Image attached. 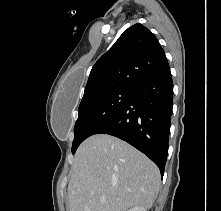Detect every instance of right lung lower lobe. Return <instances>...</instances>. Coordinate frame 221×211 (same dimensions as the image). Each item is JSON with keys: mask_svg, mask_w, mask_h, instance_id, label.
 <instances>
[{"mask_svg": "<svg viewBox=\"0 0 221 211\" xmlns=\"http://www.w3.org/2000/svg\"><path fill=\"white\" fill-rule=\"evenodd\" d=\"M170 69L146 78L131 88L120 111L96 134L118 137L149 157L164 174L173 107Z\"/></svg>", "mask_w": 221, "mask_h": 211, "instance_id": "1", "label": "right lung lower lobe"}]
</instances>
